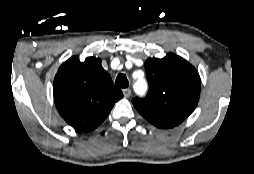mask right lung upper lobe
Instances as JSON below:
<instances>
[{
  "instance_id": "obj_1",
  "label": "right lung upper lobe",
  "mask_w": 254,
  "mask_h": 174,
  "mask_svg": "<svg viewBox=\"0 0 254 174\" xmlns=\"http://www.w3.org/2000/svg\"><path fill=\"white\" fill-rule=\"evenodd\" d=\"M54 101L64 120L80 131H92L123 97L113 86L101 60L88 57L81 62L73 56L64 62L54 78Z\"/></svg>"
}]
</instances>
